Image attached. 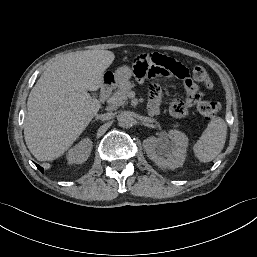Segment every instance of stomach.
<instances>
[{"label":"stomach","mask_w":257,"mask_h":257,"mask_svg":"<svg viewBox=\"0 0 257 257\" xmlns=\"http://www.w3.org/2000/svg\"><path fill=\"white\" fill-rule=\"evenodd\" d=\"M132 76V70L128 66L119 67L114 73L112 83L120 85L127 82Z\"/></svg>","instance_id":"1"}]
</instances>
